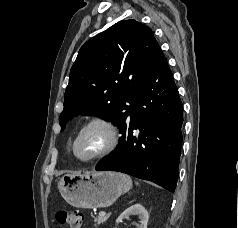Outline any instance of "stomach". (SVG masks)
Instances as JSON below:
<instances>
[{
  "instance_id": "obj_1",
  "label": "stomach",
  "mask_w": 238,
  "mask_h": 228,
  "mask_svg": "<svg viewBox=\"0 0 238 228\" xmlns=\"http://www.w3.org/2000/svg\"><path fill=\"white\" fill-rule=\"evenodd\" d=\"M131 186L129 176L114 171L66 174L58 183L62 197L70 205L85 209L108 207Z\"/></svg>"
}]
</instances>
